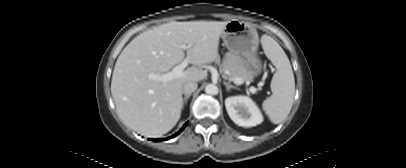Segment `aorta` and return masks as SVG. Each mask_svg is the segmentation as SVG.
Masks as SVG:
<instances>
[{
    "label": "aorta",
    "mask_w": 406,
    "mask_h": 168,
    "mask_svg": "<svg viewBox=\"0 0 406 168\" xmlns=\"http://www.w3.org/2000/svg\"><path fill=\"white\" fill-rule=\"evenodd\" d=\"M206 94L209 95H217L218 94V87L214 84H208L205 88Z\"/></svg>",
    "instance_id": "obj_1"
}]
</instances>
